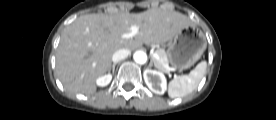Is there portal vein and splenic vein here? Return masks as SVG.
Segmentation results:
<instances>
[{
  "label": "portal vein and splenic vein",
  "mask_w": 276,
  "mask_h": 120,
  "mask_svg": "<svg viewBox=\"0 0 276 120\" xmlns=\"http://www.w3.org/2000/svg\"><path fill=\"white\" fill-rule=\"evenodd\" d=\"M138 27L137 26H132L131 27V31L129 33H125L121 36V38L123 39H129V38H133L135 35L138 34ZM153 58H156V59H159V56L156 54V53H153ZM169 71L168 69H166V73L169 74Z\"/></svg>",
  "instance_id": "obj_1"
}]
</instances>
